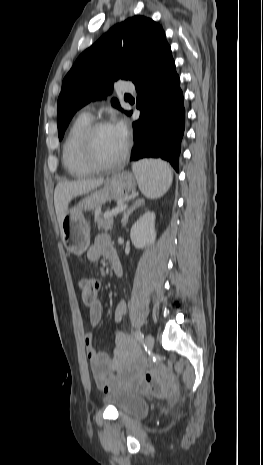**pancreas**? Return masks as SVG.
<instances>
[{"instance_id": "pancreas-1", "label": "pancreas", "mask_w": 263, "mask_h": 465, "mask_svg": "<svg viewBox=\"0 0 263 465\" xmlns=\"http://www.w3.org/2000/svg\"><path fill=\"white\" fill-rule=\"evenodd\" d=\"M94 220H95V223L97 224L98 229L104 230L106 232L113 229V225H114L113 219L111 217L103 218L100 210H97L95 212Z\"/></svg>"}]
</instances>
